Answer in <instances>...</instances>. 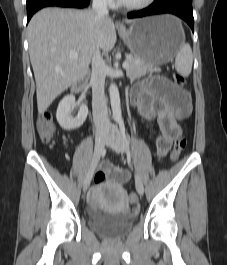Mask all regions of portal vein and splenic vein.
Wrapping results in <instances>:
<instances>
[{
	"label": "portal vein and splenic vein",
	"mask_w": 227,
	"mask_h": 265,
	"mask_svg": "<svg viewBox=\"0 0 227 265\" xmlns=\"http://www.w3.org/2000/svg\"><path fill=\"white\" fill-rule=\"evenodd\" d=\"M78 55H79V54H78L77 52H72V53H70V58H72V59H76V58H78ZM128 66H129L128 62L125 61V62L123 63V68H124V69H127Z\"/></svg>",
	"instance_id": "1"
}]
</instances>
